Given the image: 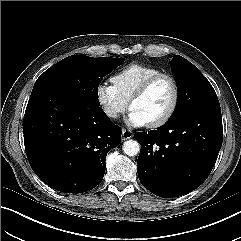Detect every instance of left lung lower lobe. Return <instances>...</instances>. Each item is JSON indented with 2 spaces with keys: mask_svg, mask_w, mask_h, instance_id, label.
Here are the masks:
<instances>
[{
  "mask_svg": "<svg viewBox=\"0 0 241 241\" xmlns=\"http://www.w3.org/2000/svg\"><path fill=\"white\" fill-rule=\"evenodd\" d=\"M142 185L160 197H177L199 187L210 174L222 145L221 110L184 112L157 130L137 132Z\"/></svg>",
  "mask_w": 241,
  "mask_h": 241,
  "instance_id": "0a47b994",
  "label": "left lung lower lobe"
}]
</instances>
